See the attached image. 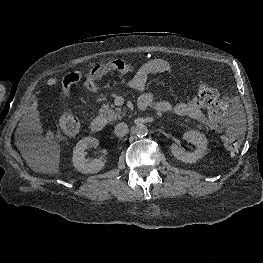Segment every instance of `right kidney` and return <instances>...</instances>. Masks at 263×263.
<instances>
[{
  "label": "right kidney",
  "instance_id": "1",
  "mask_svg": "<svg viewBox=\"0 0 263 263\" xmlns=\"http://www.w3.org/2000/svg\"><path fill=\"white\" fill-rule=\"evenodd\" d=\"M99 144V141L94 137H85L81 139L75 146L73 150V165L75 168L85 174L90 173H97L101 171L105 163L100 159H94L91 162H88L85 158V149L88 145H92L94 147H97Z\"/></svg>",
  "mask_w": 263,
  "mask_h": 263
}]
</instances>
